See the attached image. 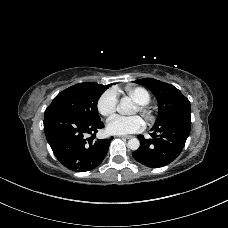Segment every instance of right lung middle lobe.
I'll list each match as a JSON object with an SVG mask.
<instances>
[{"label": "right lung middle lobe", "mask_w": 228, "mask_h": 228, "mask_svg": "<svg viewBox=\"0 0 228 228\" xmlns=\"http://www.w3.org/2000/svg\"><path fill=\"white\" fill-rule=\"evenodd\" d=\"M112 84L79 83L60 92L46 110L60 109L84 120H99L97 102L101 94Z\"/></svg>", "instance_id": "dd1d6c3e"}]
</instances>
